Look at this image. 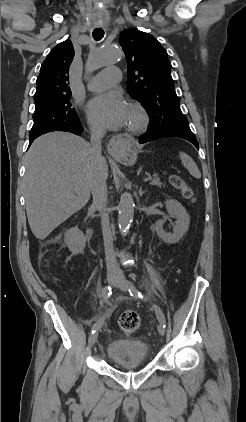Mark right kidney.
<instances>
[{
	"mask_svg": "<svg viewBox=\"0 0 246 422\" xmlns=\"http://www.w3.org/2000/svg\"><path fill=\"white\" fill-rule=\"evenodd\" d=\"M65 242L73 254L82 253L86 246V238L78 227H73L66 232Z\"/></svg>",
	"mask_w": 246,
	"mask_h": 422,
	"instance_id": "right-kidney-1",
	"label": "right kidney"
}]
</instances>
